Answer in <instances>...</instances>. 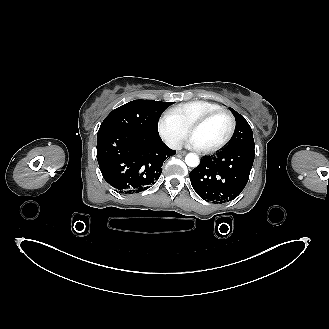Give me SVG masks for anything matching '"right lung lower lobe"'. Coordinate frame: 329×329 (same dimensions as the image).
<instances>
[{
	"mask_svg": "<svg viewBox=\"0 0 329 329\" xmlns=\"http://www.w3.org/2000/svg\"><path fill=\"white\" fill-rule=\"evenodd\" d=\"M176 151L160 137L120 129L98 132L97 160L101 173L122 194L139 193L160 177L163 162Z\"/></svg>",
	"mask_w": 329,
	"mask_h": 329,
	"instance_id": "1",
	"label": "right lung lower lobe"
}]
</instances>
